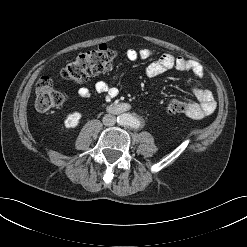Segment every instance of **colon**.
Here are the masks:
<instances>
[{
    "mask_svg": "<svg viewBox=\"0 0 247 247\" xmlns=\"http://www.w3.org/2000/svg\"><path fill=\"white\" fill-rule=\"evenodd\" d=\"M116 53L106 45L89 50L77 56L63 67L62 77L76 83H82L94 75L112 69ZM65 101L64 94L55 88L49 76H43L36 85L35 106L39 111H47L61 106ZM192 109L189 102L172 99L167 104V112L171 115L188 113Z\"/></svg>",
    "mask_w": 247,
    "mask_h": 247,
    "instance_id": "obj_1",
    "label": "colon"
}]
</instances>
